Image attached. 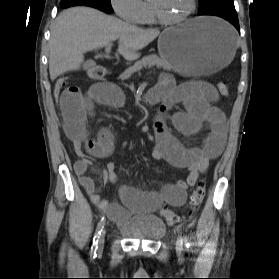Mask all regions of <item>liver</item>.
Instances as JSON below:
<instances>
[{"label": "liver", "mask_w": 279, "mask_h": 279, "mask_svg": "<svg viewBox=\"0 0 279 279\" xmlns=\"http://www.w3.org/2000/svg\"><path fill=\"white\" fill-rule=\"evenodd\" d=\"M160 31L142 29L90 7H72L56 18L49 41V73L54 81L61 74L76 70L84 53L118 40V53L127 61L140 57L139 51Z\"/></svg>", "instance_id": "1"}]
</instances>
